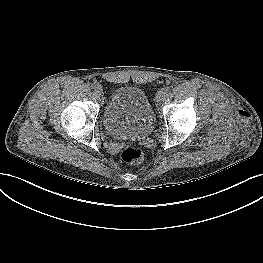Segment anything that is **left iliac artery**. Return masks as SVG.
<instances>
[{
    "label": "left iliac artery",
    "mask_w": 263,
    "mask_h": 263,
    "mask_svg": "<svg viewBox=\"0 0 263 263\" xmlns=\"http://www.w3.org/2000/svg\"><path fill=\"white\" fill-rule=\"evenodd\" d=\"M167 93H169V88H164V90L161 91V96H166Z\"/></svg>",
    "instance_id": "obj_1"
}]
</instances>
